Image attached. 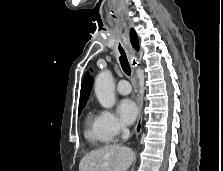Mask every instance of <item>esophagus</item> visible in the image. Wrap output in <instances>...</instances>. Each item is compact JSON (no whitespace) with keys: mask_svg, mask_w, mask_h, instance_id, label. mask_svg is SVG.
Masks as SVG:
<instances>
[{"mask_svg":"<svg viewBox=\"0 0 223 171\" xmlns=\"http://www.w3.org/2000/svg\"><path fill=\"white\" fill-rule=\"evenodd\" d=\"M138 62H135L133 60H131V64H132V67L133 68H136L137 67V64ZM138 106H139V111H140V114H141V111H142V108H143V102H142V99H139L138 101ZM141 116V115H140ZM141 123V120L139 119V125ZM138 125V124H137Z\"/></svg>","mask_w":223,"mask_h":171,"instance_id":"34e87169","label":"esophagus"}]
</instances>
